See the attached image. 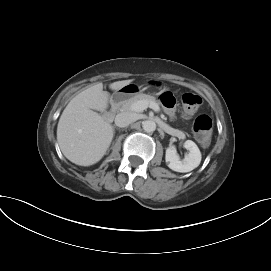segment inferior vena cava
<instances>
[{
	"label": "inferior vena cava",
	"mask_w": 271,
	"mask_h": 271,
	"mask_svg": "<svg viewBox=\"0 0 271 271\" xmlns=\"http://www.w3.org/2000/svg\"><path fill=\"white\" fill-rule=\"evenodd\" d=\"M135 121H136L135 115L130 112L119 113L116 115L115 118V124L118 127H126Z\"/></svg>",
	"instance_id": "1"
}]
</instances>
